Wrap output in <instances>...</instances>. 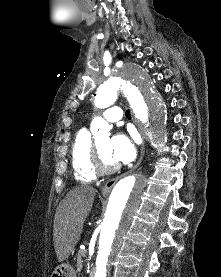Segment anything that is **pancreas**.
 Returning a JSON list of instances; mask_svg holds the SVG:
<instances>
[{"label": "pancreas", "mask_w": 221, "mask_h": 277, "mask_svg": "<svg viewBox=\"0 0 221 277\" xmlns=\"http://www.w3.org/2000/svg\"><path fill=\"white\" fill-rule=\"evenodd\" d=\"M87 254L86 250H80L77 255V268L80 270L82 268V258Z\"/></svg>", "instance_id": "cf45deb5"}]
</instances>
